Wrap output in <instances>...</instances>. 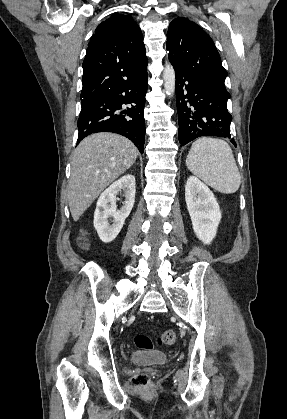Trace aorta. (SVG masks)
<instances>
[{
  "mask_svg": "<svg viewBox=\"0 0 287 419\" xmlns=\"http://www.w3.org/2000/svg\"><path fill=\"white\" fill-rule=\"evenodd\" d=\"M164 90L168 96H173L175 91L176 76L172 65L165 66L163 71Z\"/></svg>",
  "mask_w": 287,
  "mask_h": 419,
  "instance_id": "762f6f07",
  "label": "aorta"
}]
</instances>
